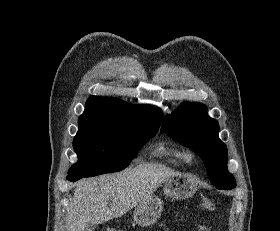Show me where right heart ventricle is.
<instances>
[{"instance_id": "1", "label": "right heart ventricle", "mask_w": 280, "mask_h": 231, "mask_svg": "<svg viewBox=\"0 0 280 231\" xmlns=\"http://www.w3.org/2000/svg\"><path fill=\"white\" fill-rule=\"evenodd\" d=\"M150 153L173 167H180L184 164V148L177 143L158 139L151 145Z\"/></svg>"}]
</instances>
